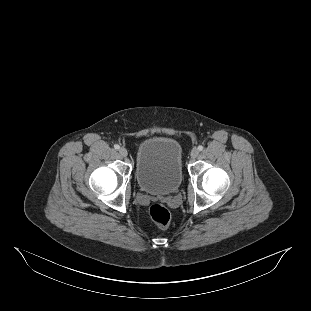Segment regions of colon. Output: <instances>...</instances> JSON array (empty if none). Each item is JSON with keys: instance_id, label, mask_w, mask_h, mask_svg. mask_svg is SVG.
<instances>
[{"instance_id": "5ec220e1", "label": "colon", "mask_w": 311, "mask_h": 311, "mask_svg": "<svg viewBox=\"0 0 311 311\" xmlns=\"http://www.w3.org/2000/svg\"><path fill=\"white\" fill-rule=\"evenodd\" d=\"M149 215L159 228L164 229L170 223L171 214L169 210L161 204L155 203L151 205L149 208Z\"/></svg>"}]
</instances>
